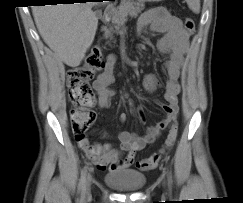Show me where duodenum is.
<instances>
[{
  "label": "duodenum",
  "mask_w": 243,
  "mask_h": 203,
  "mask_svg": "<svg viewBox=\"0 0 243 203\" xmlns=\"http://www.w3.org/2000/svg\"><path fill=\"white\" fill-rule=\"evenodd\" d=\"M112 12V9H107L103 14V21H108L110 19V14Z\"/></svg>",
  "instance_id": "obj_1"
}]
</instances>
